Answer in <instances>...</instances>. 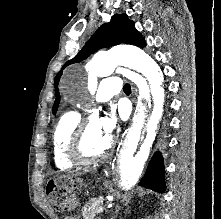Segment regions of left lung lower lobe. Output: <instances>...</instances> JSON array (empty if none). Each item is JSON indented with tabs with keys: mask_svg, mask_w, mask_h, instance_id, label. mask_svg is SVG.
Returning a JSON list of instances; mask_svg holds the SVG:
<instances>
[{
	"mask_svg": "<svg viewBox=\"0 0 221 219\" xmlns=\"http://www.w3.org/2000/svg\"><path fill=\"white\" fill-rule=\"evenodd\" d=\"M139 185L160 193L165 190L164 165L162 155L157 152L152 157L146 173Z\"/></svg>",
	"mask_w": 221,
	"mask_h": 219,
	"instance_id": "0a47b994",
	"label": "left lung lower lobe"
}]
</instances>
